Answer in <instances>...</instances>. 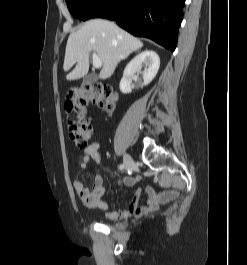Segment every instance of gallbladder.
Segmentation results:
<instances>
[{
	"instance_id": "bac80fb5",
	"label": "gallbladder",
	"mask_w": 247,
	"mask_h": 265,
	"mask_svg": "<svg viewBox=\"0 0 247 265\" xmlns=\"http://www.w3.org/2000/svg\"><path fill=\"white\" fill-rule=\"evenodd\" d=\"M96 81V76L94 74H90L84 77L83 83L90 84Z\"/></svg>"
}]
</instances>
